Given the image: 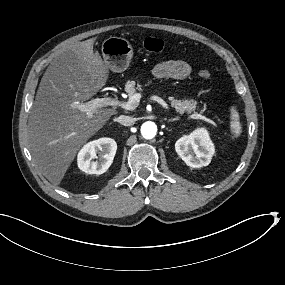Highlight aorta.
Instances as JSON below:
<instances>
[{"label":"aorta","mask_w":285,"mask_h":285,"mask_svg":"<svg viewBox=\"0 0 285 285\" xmlns=\"http://www.w3.org/2000/svg\"><path fill=\"white\" fill-rule=\"evenodd\" d=\"M157 134V125L152 121H147L141 126V135L145 139H152Z\"/></svg>","instance_id":"obj_1"}]
</instances>
